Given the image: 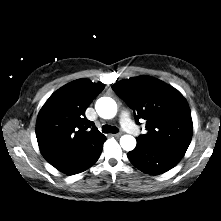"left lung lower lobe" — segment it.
Returning a JSON list of instances; mask_svg holds the SVG:
<instances>
[{
    "instance_id": "obj_1",
    "label": "left lung lower lobe",
    "mask_w": 221,
    "mask_h": 221,
    "mask_svg": "<svg viewBox=\"0 0 221 221\" xmlns=\"http://www.w3.org/2000/svg\"><path fill=\"white\" fill-rule=\"evenodd\" d=\"M185 152L161 147L142 146L128 153L130 162L146 174H162L167 172L182 159Z\"/></svg>"
}]
</instances>
